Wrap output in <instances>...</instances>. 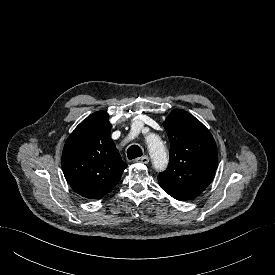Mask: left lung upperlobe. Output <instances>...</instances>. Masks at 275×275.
<instances>
[{
    "label": "left lung upper lobe",
    "instance_id": "left-lung-upper-lobe-1",
    "mask_svg": "<svg viewBox=\"0 0 275 275\" xmlns=\"http://www.w3.org/2000/svg\"><path fill=\"white\" fill-rule=\"evenodd\" d=\"M163 125L170 161L158 176L159 185L177 200H191L213 180L218 166L216 143L209 130L184 110L171 111Z\"/></svg>",
    "mask_w": 275,
    "mask_h": 275
}]
</instances>
